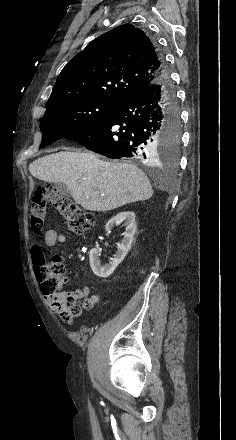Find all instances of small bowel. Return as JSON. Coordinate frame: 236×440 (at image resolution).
I'll return each instance as SVG.
<instances>
[{
    "mask_svg": "<svg viewBox=\"0 0 236 440\" xmlns=\"http://www.w3.org/2000/svg\"><path fill=\"white\" fill-rule=\"evenodd\" d=\"M65 241V235L59 234L55 230H48L44 235L43 244L46 247H53L57 244H63ZM31 255L33 263L35 264L36 268H38V265L43 258L41 249L39 247H35ZM67 295L70 298L74 299L78 304L77 308H75V310L72 312L73 319L79 317L83 310H90L95 306V304L99 302V295L91 294V290L88 286H83L75 291L67 293ZM45 299L49 304L52 312L62 317L61 312L59 311L58 307L51 301L50 297L45 295Z\"/></svg>",
    "mask_w": 236,
    "mask_h": 440,
    "instance_id": "obj_1",
    "label": "small bowel"
}]
</instances>
